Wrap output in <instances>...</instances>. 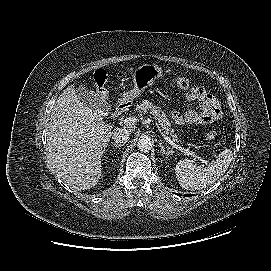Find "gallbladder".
<instances>
[{
  "label": "gallbladder",
  "instance_id": "gallbladder-1",
  "mask_svg": "<svg viewBox=\"0 0 271 271\" xmlns=\"http://www.w3.org/2000/svg\"><path fill=\"white\" fill-rule=\"evenodd\" d=\"M77 96L84 105L102 115H107L110 111L108 102L100 94L87 89L83 84L77 87Z\"/></svg>",
  "mask_w": 271,
  "mask_h": 271
}]
</instances>
